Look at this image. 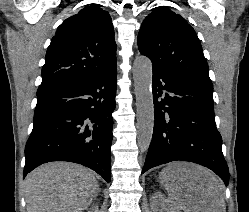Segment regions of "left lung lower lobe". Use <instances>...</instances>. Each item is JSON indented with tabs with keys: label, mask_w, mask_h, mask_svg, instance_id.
Wrapping results in <instances>:
<instances>
[{
	"label": "left lung lower lobe",
	"mask_w": 249,
	"mask_h": 212,
	"mask_svg": "<svg viewBox=\"0 0 249 212\" xmlns=\"http://www.w3.org/2000/svg\"><path fill=\"white\" fill-rule=\"evenodd\" d=\"M212 93L213 86L153 66L154 130L142 173L189 161L211 169L228 185Z\"/></svg>",
	"instance_id": "obj_1"
}]
</instances>
